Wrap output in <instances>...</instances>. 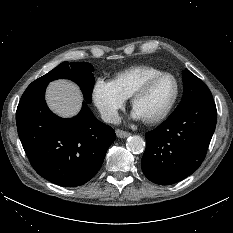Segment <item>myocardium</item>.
<instances>
[{
  "mask_svg": "<svg viewBox=\"0 0 233 233\" xmlns=\"http://www.w3.org/2000/svg\"><path fill=\"white\" fill-rule=\"evenodd\" d=\"M164 77H170L175 84V92L174 95L169 102L168 106L165 108V110L160 113L159 115L152 117V118H140L141 121L144 124L147 125H156L164 121L172 112L173 108L175 107L177 100L179 98L180 94V85L178 79L171 73L168 72H161L159 74L153 75L148 77L131 95L130 97V106L132 110L134 109L135 103L140 99L144 94L147 93V91L150 89V87L159 79Z\"/></svg>",
  "mask_w": 233,
  "mask_h": 233,
  "instance_id": "f54148a6",
  "label": "myocardium"
}]
</instances>
